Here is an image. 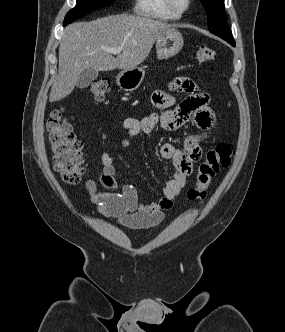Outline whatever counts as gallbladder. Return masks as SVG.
Here are the masks:
<instances>
[{
	"label": "gallbladder",
	"mask_w": 285,
	"mask_h": 332,
	"mask_svg": "<svg viewBox=\"0 0 285 332\" xmlns=\"http://www.w3.org/2000/svg\"><path fill=\"white\" fill-rule=\"evenodd\" d=\"M98 77V72L92 68L85 69L79 76L77 81V88L83 89L90 85L91 82L96 80Z\"/></svg>",
	"instance_id": "gallbladder-1"
}]
</instances>
